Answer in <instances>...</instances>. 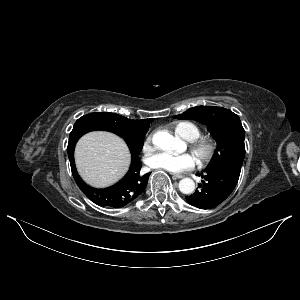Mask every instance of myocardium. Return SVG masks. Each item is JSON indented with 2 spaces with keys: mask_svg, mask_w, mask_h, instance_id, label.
<instances>
[{
  "mask_svg": "<svg viewBox=\"0 0 300 300\" xmlns=\"http://www.w3.org/2000/svg\"><path fill=\"white\" fill-rule=\"evenodd\" d=\"M191 150L201 165L209 164L216 157L219 144L214 137L203 136L191 141Z\"/></svg>",
  "mask_w": 300,
  "mask_h": 300,
  "instance_id": "f54148a6",
  "label": "myocardium"
}]
</instances>
